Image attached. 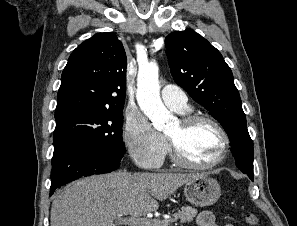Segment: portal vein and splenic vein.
Here are the masks:
<instances>
[{"label": "portal vein and splenic vein", "mask_w": 297, "mask_h": 226, "mask_svg": "<svg viewBox=\"0 0 297 226\" xmlns=\"http://www.w3.org/2000/svg\"><path fill=\"white\" fill-rule=\"evenodd\" d=\"M118 221L120 223H126L131 226H151L155 222L154 219H148V218H142V217H130V218L120 217Z\"/></svg>", "instance_id": "obj_1"}]
</instances>
